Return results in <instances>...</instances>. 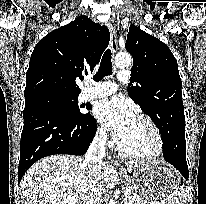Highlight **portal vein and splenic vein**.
Here are the masks:
<instances>
[{"instance_id":"1","label":"portal vein and splenic vein","mask_w":206,"mask_h":204,"mask_svg":"<svg viewBox=\"0 0 206 204\" xmlns=\"http://www.w3.org/2000/svg\"><path fill=\"white\" fill-rule=\"evenodd\" d=\"M130 193V190L126 188V190L124 191V195L127 196ZM161 204V203H159Z\"/></svg>"}]
</instances>
